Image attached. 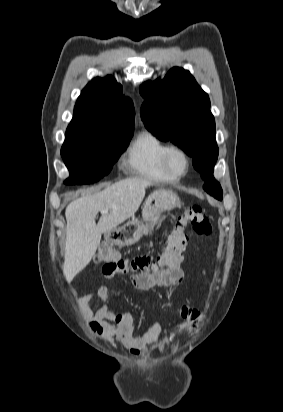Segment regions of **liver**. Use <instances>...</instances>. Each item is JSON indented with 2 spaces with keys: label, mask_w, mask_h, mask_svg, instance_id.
<instances>
[{
  "label": "liver",
  "mask_w": 283,
  "mask_h": 412,
  "mask_svg": "<svg viewBox=\"0 0 283 412\" xmlns=\"http://www.w3.org/2000/svg\"><path fill=\"white\" fill-rule=\"evenodd\" d=\"M150 179L121 180L103 191L72 201L66 208V245L63 272L71 281L91 261L100 244L102 233L116 229L139 209ZM102 214L96 224V215Z\"/></svg>",
  "instance_id": "obj_1"
}]
</instances>
